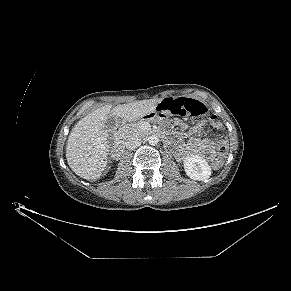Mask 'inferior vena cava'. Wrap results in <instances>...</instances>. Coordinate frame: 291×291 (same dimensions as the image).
I'll return each instance as SVG.
<instances>
[{"label":"inferior vena cava","mask_w":291,"mask_h":291,"mask_svg":"<svg viewBox=\"0 0 291 291\" xmlns=\"http://www.w3.org/2000/svg\"><path fill=\"white\" fill-rule=\"evenodd\" d=\"M140 144H141L140 139H138L137 137L132 136V137L128 138V140L126 141V148L128 150H134L137 147H139Z\"/></svg>","instance_id":"inferior-vena-cava-1"}]
</instances>
